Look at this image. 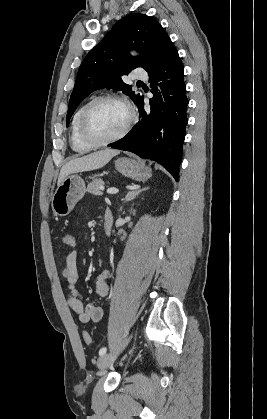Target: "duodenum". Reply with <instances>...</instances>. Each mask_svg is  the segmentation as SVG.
<instances>
[{
  "label": "duodenum",
  "instance_id": "duodenum-1",
  "mask_svg": "<svg viewBox=\"0 0 267 419\" xmlns=\"http://www.w3.org/2000/svg\"><path fill=\"white\" fill-rule=\"evenodd\" d=\"M113 228V218L112 217H105L104 224H103V231L106 236L110 235Z\"/></svg>",
  "mask_w": 267,
  "mask_h": 419
}]
</instances>
